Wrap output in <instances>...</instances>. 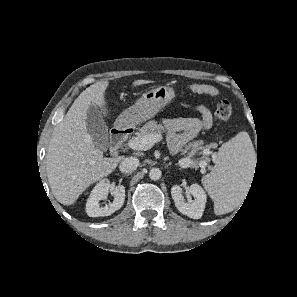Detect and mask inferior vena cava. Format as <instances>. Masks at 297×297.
<instances>
[{
    "label": "inferior vena cava",
    "instance_id": "1",
    "mask_svg": "<svg viewBox=\"0 0 297 297\" xmlns=\"http://www.w3.org/2000/svg\"><path fill=\"white\" fill-rule=\"evenodd\" d=\"M139 159L136 157H126L120 163L119 169L123 173H131L139 166Z\"/></svg>",
    "mask_w": 297,
    "mask_h": 297
}]
</instances>
